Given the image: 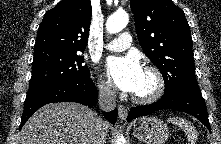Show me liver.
Segmentation results:
<instances>
[{
    "label": "liver",
    "instance_id": "obj_1",
    "mask_svg": "<svg viewBox=\"0 0 221 144\" xmlns=\"http://www.w3.org/2000/svg\"><path fill=\"white\" fill-rule=\"evenodd\" d=\"M97 118L90 108L78 103L47 104L25 123L19 144H92ZM104 131L107 135V122Z\"/></svg>",
    "mask_w": 221,
    "mask_h": 144
}]
</instances>
